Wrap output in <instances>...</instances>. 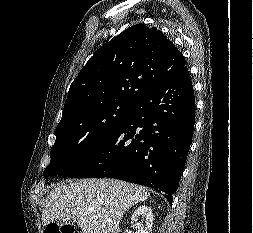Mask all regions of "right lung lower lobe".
Masks as SVG:
<instances>
[{"instance_id": "1", "label": "right lung lower lobe", "mask_w": 253, "mask_h": 233, "mask_svg": "<svg viewBox=\"0 0 253 233\" xmlns=\"http://www.w3.org/2000/svg\"><path fill=\"white\" fill-rule=\"evenodd\" d=\"M194 122V91L184 66L149 87L100 147L59 175L107 177L151 186L163 192L172 204L192 141Z\"/></svg>"}]
</instances>
